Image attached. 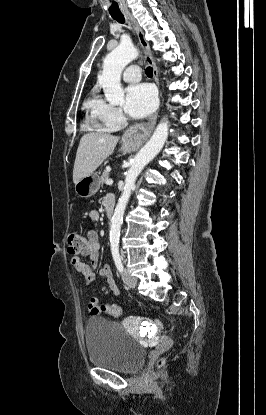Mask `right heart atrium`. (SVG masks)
Returning a JSON list of instances; mask_svg holds the SVG:
<instances>
[{
    "label": "right heart atrium",
    "mask_w": 266,
    "mask_h": 415,
    "mask_svg": "<svg viewBox=\"0 0 266 415\" xmlns=\"http://www.w3.org/2000/svg\"><path fill=\"white\" fill-rule=\"evenodd\" d=\"M92 111L95 118L99 120L106 129H116L125 121L121 109L109 104L103 99H96Z\"/></svg>",
    "instance_id": "obj_1"
}]
</instances>
